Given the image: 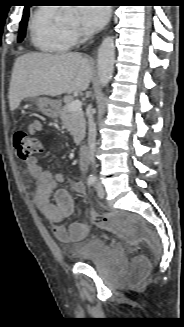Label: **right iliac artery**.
I'll list each match as a JSON object with an SVG mask.
<instances>
[{
  "mask_svg": "<svg viewBox=\"0 0 184 327\" xmlns=\"http://www.w3.org/2000/svg\"><path fill=\"white\" fill-rule=\"evenodd\" d=\"M95 182H96V179H95V177H93V176H90V177L87 179V183H88L89 186L94 185Z\"/></svg>",
  "mask_w": 184,
  "mask_h": 327,
  "instance_id": "82829eb1",
  "label": "right iliac artery"
}]
</instances>
